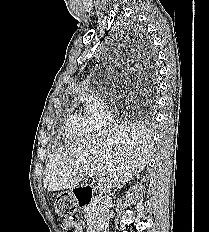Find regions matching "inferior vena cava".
Listing matches in <instances>:
<instances>
[{"instance_id":"1","label":"inferior vena cava","mask_w":209,"mask_h":232,"mask_svg":"<svg viewBox=\"0 0 209 232\" xmlns=\"http://www.w3.org/2000/svg\"><path fill=\"white\" fill-rule=\"evenodd\" d=\"M111 198L109 195H103L100 199L99 217L97 224V232H109V207Z\"/></svg>"}]
</instances>
